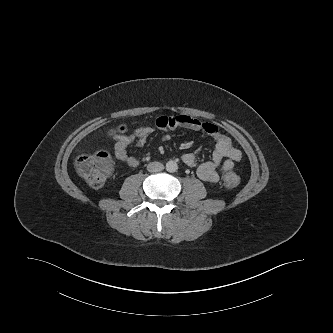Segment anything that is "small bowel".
I'll use <instances>...</instances> for the list:
<instances>
[{
  "mask_svg": "<svg viewBox=\"0 0 333 333\" xmlns=\"http://www.w3.org/2000/svg\"><path fill=\"white\" fill-rule=\"evenodd\" d=\"M156 126L164 132L162 139H170V130L177 127H184L193 131H202L213 137L214 149L211 160L200 164L197 168L198 177L208 183H216L220 174L231 170L241 157V151L237 149L232 141L219 132L217 126L211 123L203 122L195 117L187 115L161 116L156 120ZM154 129L150 126H140L129 135L114 136V155L115 157L129 165L137 167L139 160L131 156L128 150L132 147H143L153 133ZM182 161L185 165L193 167L196 164V153L188 152L183 154Z\"/></svg>",
  "mask_w": 333,
  "mask_h": 333,
  "instance_id": "c3829d8e",
  "label": "small bowel"
}]
</instances>
